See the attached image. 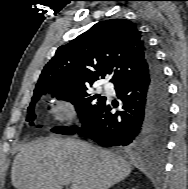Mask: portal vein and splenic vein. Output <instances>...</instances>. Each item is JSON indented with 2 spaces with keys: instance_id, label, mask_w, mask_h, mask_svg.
Here are the masks:
<instances>
[{
  "instance_id": "obj_1",
  "label": "portal vein and splenic vein",
  "mask_w": 188,
  "mask_h": 189,
  "mask_svg": "<svg viewBox=\"0 0 188 189\" xmlns=\"http://www.w3.org/2000/svg\"><path fill=\"white\" fill-rule=\"evenodd\" d=\"M70 189H79V186L77 184H72L70 186Z\"/></svg>"
}]
</instances>
